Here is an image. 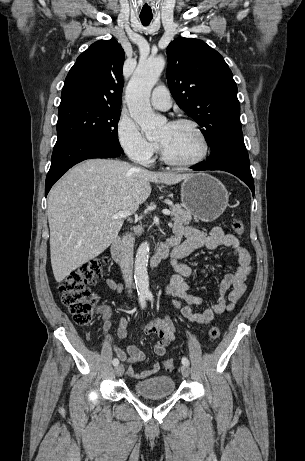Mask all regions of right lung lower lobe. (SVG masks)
<instances>
[{
	"instance_id": "1",
	"label": "right lung lower lobe",
	"mask_w": 305,
	"mask_h": 461,
	"mask_svg": "<svg viewBox=\"0 0 305 461\" xmlns=\"http://www.w3.org/2000/svg\"><path fill=\"white\" fill-rule=\"evenodd\" d=\"M121 153V151L104 143L93 140H80L55 145L51 166L46 177L45 195L47 196L52 185L75 164L92 158H114L120 156Z\"/></svg>"
}]
</instances>
